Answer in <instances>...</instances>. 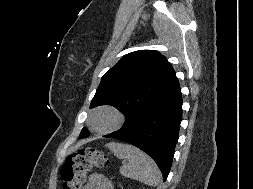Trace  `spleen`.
Listing matches in <instances>:
<instances>
[{
	"mask_svg": "<svg viewBox=\"0 0 253 189\" xmlns=\"http://www.w3.org/2000/svg\"><path fill=\"white\" fill-rule=\"evenodd\" d=\"M106 147L119 159L127 161L120 168V173L128 178L139 180L150 186H157L161 179V173L156 163L139 148L110 142Z\"/></svg>",
	"mask_w": 253,
	"mask_h": 189,
	"instance_id": "3e777b00",
	"label": "spleen"
}]
</instances>
